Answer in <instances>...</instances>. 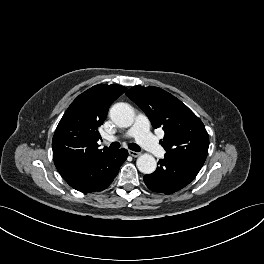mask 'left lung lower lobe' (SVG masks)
Instances as JSON below:
<instances>
[{
    "label": "left lung lower lobe",
    "instance_id": "0a47b994",
    "mask_svg": "<svg viewBox=\"0 0 264 264\" xmlns=\"http://www.w3.org/2000/svg\"><path fill=\"white\" fill-rule=\"evenodd\" d=\"M201 168L187 158L165 154L157 169L144 176V182L154 192L171 194L188 185Z\"/></svg>",
    "mask_w": 264,
    "mask_h": 264
}]
</instances>
